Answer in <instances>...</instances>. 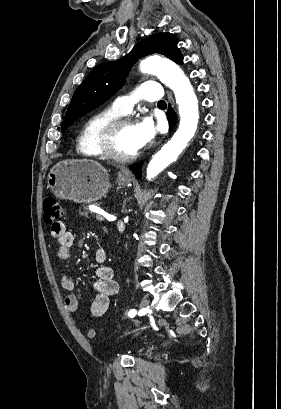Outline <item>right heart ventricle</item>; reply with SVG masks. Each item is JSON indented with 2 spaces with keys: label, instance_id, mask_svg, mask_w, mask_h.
<instances>
[{
  "label": "right heart ventricle",
  "instance_id": "right-heart-ventricle-1",
  "mask_svg": "<svg viewBox=\"0 0 281 409\" xmlns=\"http://www.w3.org/2000/svg\"><path fill=\"white\" fill-rule=\"evenodd\" d=\"M118 116L119 114L112 109H102L90 115L85 121L79 138L78 148L80 152L92 158L104 157L99 147L101 128Z\"/></svg>",
  "mask_w": 281,
  "mask_h": 409
}]
</instances>
